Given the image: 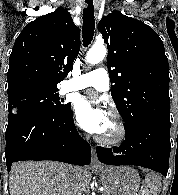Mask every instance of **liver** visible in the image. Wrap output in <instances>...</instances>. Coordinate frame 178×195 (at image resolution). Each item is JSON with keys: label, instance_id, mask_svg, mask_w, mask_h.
<instances>
[{"label": "liver", "instance_id": "1", "mask_svg": "<svg viewBox=\"0 0 178 195\" xmlns=\"http://www.w3.org/2000/svg\"><path fill=\"white\" fill-rule=\"evenodd\" d=\"M73 170L68 164L53 161L14 163L9 176L10 195H81L91 173L79 167V177L74 178Z\"/></svg>", "mask_w": 178, "mask_h": 195}]
</instances>
